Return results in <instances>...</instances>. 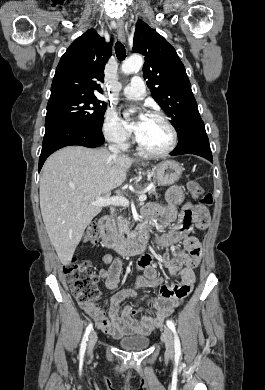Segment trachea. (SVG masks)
Instances as JSON below:
<instances>
[{"instance_id":"trachea-1","label":"trachea","mask_w":265,"mask_h":390,"mask_svg":"<svg viewBox=\"0 0 265 390\" xmlns=\"http://www.w3.org/2000/svg\"><path fill=\"white\" fill-rule=\"evenodd\" d=\"M115 53L119 60H124L126 58V49L119 41H117L115 44Z\"/></svg>"}]
</instances>
